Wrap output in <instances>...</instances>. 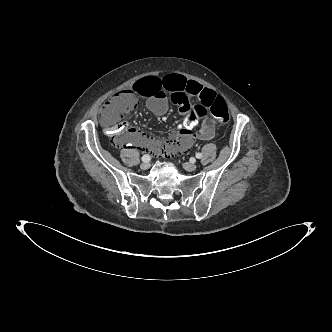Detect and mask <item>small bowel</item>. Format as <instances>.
I'll use <instances>...</instances> for the list:
<instances>
[{"mask_svg":"<svg viewBox=\"0 0 332 332\" xmlns=\"http://www.w3.org/2000/svg\"><path fill=\"white\" fill-rule=\"evenodd\" d=\"M132 90L143 100L147 101L148 109L157 116L164 115L173 103L179 107L183 116L192 109L190 98L200 99L202 105L210 110L211 101L215 93L204 88L198 82L188 80L180 74H167L160 76H142L132 82ZM103 121V111L100 116ZM121 144L126 148L140 147L152 150L156 154L174 153L190 147L194 139L211 140L215 135L214 121L208 116L207 120L193 131L182 132L179 130L173 141L161 142L137 128H129L121 124Z\"/></svg>","mask_w":332,"mask_h":332,"instance_id":"obj_1","label":"small bowel"}]
</instances>
